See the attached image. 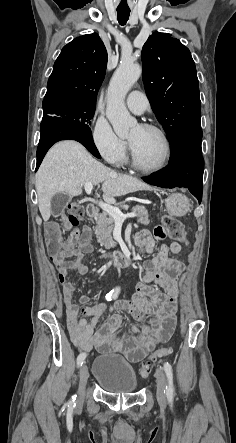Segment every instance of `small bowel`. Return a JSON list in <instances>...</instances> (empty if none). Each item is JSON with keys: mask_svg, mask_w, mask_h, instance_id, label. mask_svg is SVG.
Wrapping results in <instances>:
<instances>
[{"mask_svg": "<svg viewBox=\"0 0 236 443\" xmlns=\"http://www.w3.org/2000/svg\"><path fill=\"white\" fill-rule=\"evenodd\" d=\"M155 236V234H154ZM156 239H158L155 236ZM135 243L147 251H152L154 239L148 231H142L135 238ZM65 250L75 251V262L55 261L58 270L57 280L62 291L66 321L73 343L82 351L89 352L96 348L102 352L121 351L132 361L141 360L155 345L170 339L176 327V302L179 295L177 277L184 270L181 262L169 257V251L178 254L181 246L172 243L163 244L157 255L145 263L143 278L137 283L132 302H117L109 309L102 304L86 307L90 302L87 296L74 301L77 285L72 281V274L85 275L88 266L84 256L92 252L91 230L83 227L72 231L71 238L63 244ZM77 247V248H75ZM158 283L164 292L155 290L150 283ZM110 311L108 321L96 331L99 319ZM127 312L141 322L139 329L130 328L122 332V313ZM82 316H91L90 320ZM149 318V320H146ZM136 355V359L131 356Z\"/></svg>", "mask_w": 236, "mask_h": 443, "instance_id": "c3829d8e", "label": "small bowel"}]
</instances>
